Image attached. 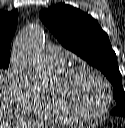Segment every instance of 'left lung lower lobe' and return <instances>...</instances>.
Listing matches in <instances>:
<instances>
[{"mask_svg": "<svg viewBox=\"0 0 125 128\" xmlns=\"http://www.w3.org/2000/svg\"><path fill=\"white\" fill-rule=\"evenodd\" d=\"M115 113H116V112L111 111V114H112V115H115Z\"/></svg>", "mask_w": 125, "mask_h": 128, "instance_id": "obj_1", "label": "left lung lower lobe"}]
</instances>
